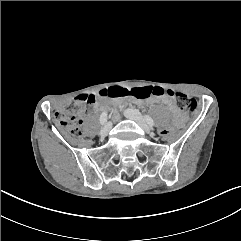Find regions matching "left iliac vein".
Returning <instances> with one entry per match:
<instances>
[{"label": "left iliac vein", "instance_id": "1", "mask_svg": "<svg viewBox=\"0 0 241 241\" xmlns=\"http://www.w3.org/2000/svg\"><path fill=\"white\" fill-rule=\"evenodd\" d=\"M124 115L127 118L135 121L146 133L152 132V128L147 124L144 117L137 110L127 109L125 110Z\"/></svg>", "mask_w": 241, "mask_h": 241}]
</instances>
